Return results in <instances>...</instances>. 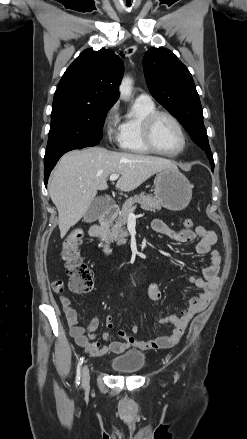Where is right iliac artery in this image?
I'll list each match as a JSON object with an SVG mask.
<instances>
[{"instance_id": "82829eb1", "label": "right iliac artery", "mask_w": 247, "mask_h": 439, "mask_svg": "<svg viewBox=\"0 0 247 439\" xmlns=\"http://www.w3.org/2000/svg\"><path fill=\"white\" fill-rule=\"evenodd\" d=\"M82 363H83V357L80 358V361H79L78 366H77L76 385H79V384H80V379H81V365H82Z\"/></svg>"}]
</instances>
